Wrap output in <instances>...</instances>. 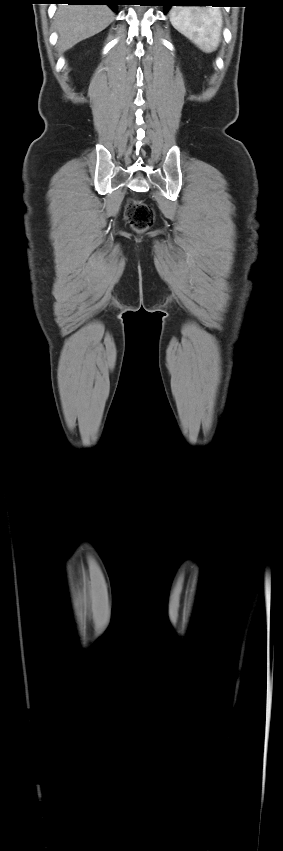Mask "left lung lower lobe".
<instances>
[{
    "label": "left lung lower lobe",
    "mask_w": 283,
    "mask_h": 851,
    "mask_svg": "<svg viewBox=\"0 0 283 851\" xmlns=\"http://www.w3.org/2000/svg\"><path fill=\"white\" fill-rule=\"evenodd\" d=\"M225 2L224 0H160L162 6H165L164 13H167L171 6L174 5H204V6H219V3Z\"/></svg>",
    "instance_id": "1"
}]
</instances>
